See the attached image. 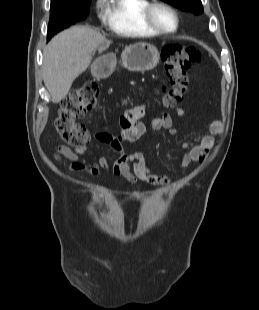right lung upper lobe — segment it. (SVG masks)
Listing matches in <instances>:
<instances>
[{
    "instance_id": "1",
    "label": "right lung upper lobe",
    "mask_w": 259,
    "mask_h": 310,
    "mask_svg": "<svg viewBox=\"0 0 259 310\" xmlns=\"http://www.w3.org/2000/svg\"><path fill=\"white\" fill-rule=\"evenodd\" d=\"M89 0H51V8L60 7V6H67V5H74V4H81Z\"/></svg>"
}]
</instances>
